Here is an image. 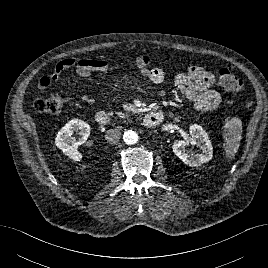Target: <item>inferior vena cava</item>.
Instances as JSON below:
<instances>
[{
	"instance_id": "inferior-vena-cava-1",
	"label": "inferior vena cava",
	"mask_w": 268,
	"mask_h": 268,
	"mask_svg": "<svg viewBox=\"0 0 268 268\" xmlns=\"http://www.w3.org/2000/svg\"><path fill=\"white\" fill-rule=\"evenodd\" d=\"M121 138V132L118 129H109L106 132L105 139L109 144H115Z\"/></svg>"
}]
</instances>
